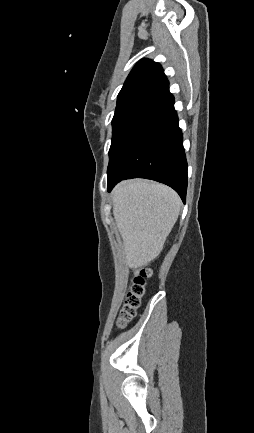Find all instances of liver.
I'll return each mask as SVG.
<instances>
[{
    "label": "liver",
    "mask_w": 254,
    "mask_h": 433,
    "mask_svg": "<svg viewBox=\"0 0 254 433\" xmlns=\"http://www.w3.org/2000/svg\"><path fill=\"white\" fill-rule=\"evenodd\" d=\"M112 199L126 264L134 269L140 268L162 251L177 221L181 200L168 186L144 180L118 184Z\"/></svg>",
    "instance_id": "6515ba94"
}]
</instances>
